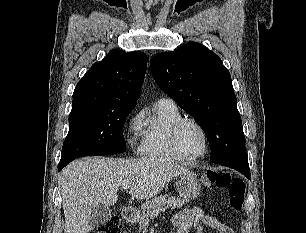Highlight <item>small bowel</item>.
Listing matches in <instances>:
<instances>
[{
  "label": "small bowel",
  "instance_id": "small-bowel-1",
  "mask_svg": "<svg viewBox=\"0 0 306 233\" xmlns=\"http://www.w3.org/2000/svg\"><path fill=\"white\" fill-rule=\"evenodd\" d=\"M175 233H203V227L215 229L218 233H235L216 217L206 215L200 208L183 209L172 219Z\"/></svg>",
  "mask_w": 306,
  "mask_h": 233
}]
</instances>
